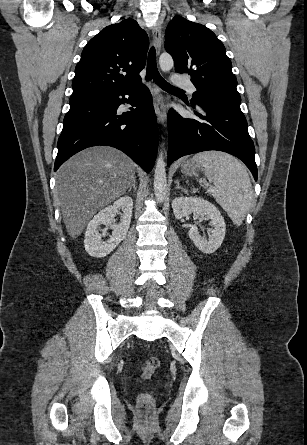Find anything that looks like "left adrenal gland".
Wrapping results in <instances>:
<instances>
[{"instance_id":"a2214340","label":"left adrenal gland","mask_w":307,"mask_h":445,"mask_svg":"<svg viewBox=\"0 0 307 445\" xmlns=\"http://www.w3.org/2000/svg\"><path fill=\"white\" fill-rule=\"evenodd\" d=\"M175 182H176L175 188H182L183 192H186V188H183V186H180L179 180H175Z\"/></svg>"}]
</instances>
